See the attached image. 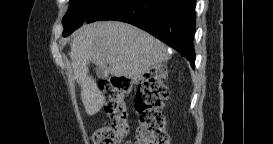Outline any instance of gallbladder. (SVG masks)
<instances>
[{"mask_svg":"<svg viewBox=\"0 0 273 144\" xmlns=\"http://www.w3.org/2000/svg\"><path fill=\"white\" fill-rule=\"evenodd\" d=\"M96 75L97 80H109V71H105L104 68H98Z\"/></svg>","mask_w":273,"mask_h":144,"instance_id":"obj_1","label":"gallbladder"}]
</instances>
